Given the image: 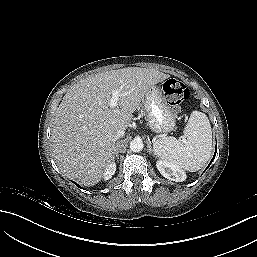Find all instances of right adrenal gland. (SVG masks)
Wrapping results in <instances>:
<instances>
[{
  "instance_id": "right-adrenal-gland-1",
  "label": "right adrenal gland",
  "mask_w": 257,
  "mask_h": 257,
  "mask_svg": "<svg viewBox=\"0 0 257 257\" xmlns=\"http://www.w3.org/2000/svg\"><path fill=\"white\" fill-rule=\"evenodd\" d=\"M114 155H115V157H117V159L119 158L118 151L116 150L115 145H114Z\"/></svg>"
}]
</instances>
